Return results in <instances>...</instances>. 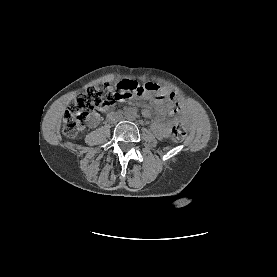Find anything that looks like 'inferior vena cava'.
Returning <instances> with one entry per match:
<instances>
[{
    "label": "inferior vena cava",
    "instance_id": "602c4592",
    "mask_svg": "<svg viewBox=\"0 0 277 277\" xmlns=\"http://www.w3.org/2000/svg\"><path fill=\"white\" fill-rule=\"evenodd\" d=\"M108 120L111 121V122H117L121 119V116H118L116 114H109L107 116Z\"/></svg>",
    "mask_w": 277,
    "mask_h": 277
}]
</instances>
